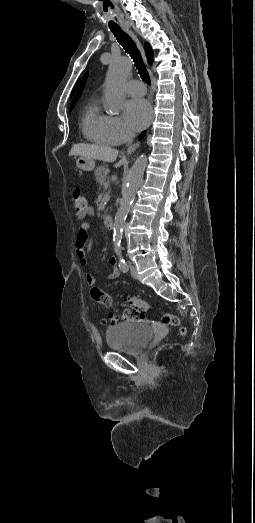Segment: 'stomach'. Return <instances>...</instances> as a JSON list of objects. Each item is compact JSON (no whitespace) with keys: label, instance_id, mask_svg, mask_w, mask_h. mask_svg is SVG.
I'll return each instance as SVG.
<instances>
[{"label":"stomach","instance_id":"obj_1","mask_svg":"<svg viewBox=\"0 0 255 523\" xmlns=\"http://www.w3.org/2000/svg\"><path fill=\"white\" fill-rule=\"evenodd\" d=\"M76 166L79 168V170H85V172H91V170H94L95 168V162L94 160H86V158H77L76 160Z\"/></svg>","mask_w":255,"mask_h":523}]
</instances>
